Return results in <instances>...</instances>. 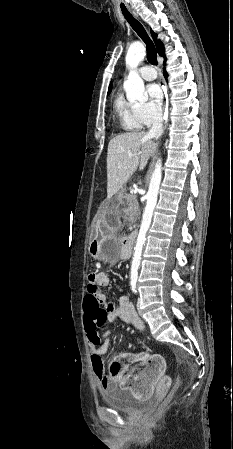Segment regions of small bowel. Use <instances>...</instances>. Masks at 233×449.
<instances>
[{
  "mask_svg": "<svg viewBox=\"0 0 233 449\" xmlns=\"http://www.w3.org/2000/svg\"><path fill=\"white\" fill-rule=\"evenodd\" d=\"M124 255L125 252L123 251L121 256ZM86 281V289L90 296H101L99 301H102L101 305L107 310V321L122 320L132 324L138 330L143 329V321L137 316L127 295L121 296L117 303L109 301L104 295L103 287L108 286L111 281L109 274L100 270H89ZM83 324L91 352L92 367L102 390L110 389L123 379L128 378L130 390H134V399H150L151 394H160L161 388L158 384V377H164L165 375L164 364L161 363L163 361L161 354H154L152 356L154 363H147L148 353H123L111 362L109 373H107L103 355L106 354L109 347V333L106 330L100 332L98 328H86L85 323ZM130 362L146 363L145 368L139 369V375H133L134 368L129 365Z\"/></svg>",
  "mask_w": 233,
  "mask_h": 449,
  "instance_id": "small-bowel-1",
  "label": "small bowel"
}]
</instances>
